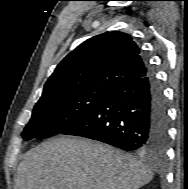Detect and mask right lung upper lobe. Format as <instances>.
Here are the masks:
<instances>
[{
	"instance_id": "obj_1",
	"label": "right lung upper lobe",
	"mask_w": 188,
	"mask_h": 189,
	"mask_svg": "<svg viewBox=\"0 0 188 189\" xmlns=\"http://www.w3.org/2000/svg\"><path fill=\"white\" fill-rule=\"evenodd\" d=\"M146 73V61L132 37L106 32L86 40L58 64L42 97L93 88L114 90Z\"/></svg>"
}]
</instances>
